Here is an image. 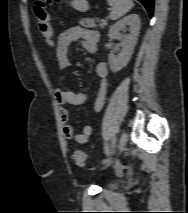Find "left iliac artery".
I'll return each instance as SVG.
<instances>
[{
	"instance_id": "left-iliac-artery-1",
	"label": "left iliac artery",
	"mask_w": 188,
	"mask_h": 213,
	"mask_svg": "<svg viewBox=\"0 0 188 213\" xmlns=\"http://www.w3.org/2000/svg\"><path fill=\"white\" fill-rule=\"evenodd\" d=\"M116 141H117V138L116 137H114L113 139H112V148H114V146H115V144H116Z\"/></svg>"
}]
</instances>
